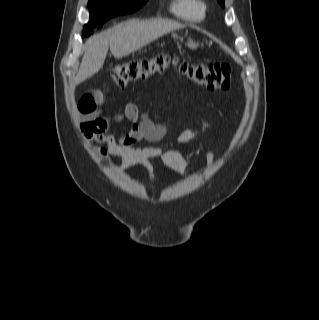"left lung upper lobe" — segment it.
Masks as SVG:
<instances>
[{"instance_id":"obj_1","label":"left lung upper lobe","mask_w":319,"mask_h":320,"mask_svg":"<svg viewBox=\"0 0 319 320\" xmlns=\"http://www.w3.org/2000/svg\"><path fill=\"white\" fill-rule=\"evenodd\" d=\"M217 1L221 4L222 7H224V0H217Z\"/></svg>"}]
</instances>
